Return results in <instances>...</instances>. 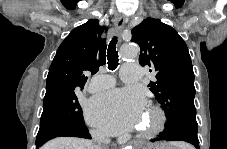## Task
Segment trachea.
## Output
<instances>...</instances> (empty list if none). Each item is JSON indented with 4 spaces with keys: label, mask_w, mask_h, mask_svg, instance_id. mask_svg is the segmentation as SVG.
<instances>
[{
    "label": "trachea",
    "mask_w": 227,
    "mask_h": 149,
    "mask_svg": "<svg viewBox=\"0 0 227 149\" xmlns=\"http://www.w3.org/2000/svg\"><path fill=\"white\" fill-rule=\"evenodd\" d=\"M117 37H114L110 44L108 45L107 50V60H108V69L115 70L118 66V51L116 50Z\"/></svg>",
    "instance_id": "3493384b"
}]
</instances>
